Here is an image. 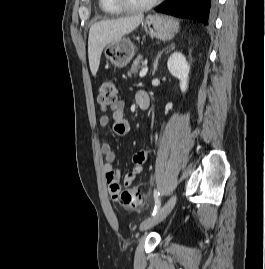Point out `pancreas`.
Instances as JSON below:
<instances>
[{
  "label": "pancreas",
  "instance_id": "1",
  "mask_svg": "<svg viewBox=\"0 0 265 269\" xmlns=\"http://www.w3.org/2000/svg\"><path fill=\"white\" fill-rule=\"evenodd\" d=\"M144 66L143 61H142V56L139 55L133 62L131 69L128 73L129 76H132L136 74L140 69H142Z\"/></svg>",
  "mask_w": 265,
  "mask_h": 269
}]
</instances>
